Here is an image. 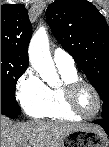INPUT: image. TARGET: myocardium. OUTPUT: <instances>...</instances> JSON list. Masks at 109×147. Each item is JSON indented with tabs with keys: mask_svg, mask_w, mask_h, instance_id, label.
<instances>
[{
	"mask_svg": "<svg viewBox=\"0 0 109 147\" xmlns=\"http://www.w3.org/2000/svg\"><path fill=\"white\" fill-rule=\"evenodd\" d=\"M82 87L89 88L93 92L97 100L96 110L90 115L84 114L79 109L78 104H77V95H78L79 90ZM62 91L64 93L65 101H66L68 108L70 109L72 113H74L76 116L80 118H85V119L93 118L101 110L102 101H101V96L98 90L91 83L83 80L82 78L78 77V78L72 79L71 81L66 82L62 86Z\"/></svg>",
	"mask_w": 109,
	"mask_h": 147,
	"instance_id": "f54148a6",
	"label": "myocardium"
}]
</instances>
